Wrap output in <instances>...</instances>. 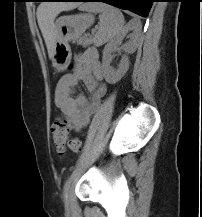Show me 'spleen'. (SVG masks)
<instances>
[{
  "mask_svg": "<svg viewBox=\"0 0 202 217\" xmlns=\"http://www.w3.org/2000/svg\"><path fill=\"white\" fill-rule=\"evenodd\" d=\"M81 10L100 13L99 30L94 37L96 46L112 40L123 30V14L115 7L105 3H87L81 6Z\"/></svg>",
  "mask_w": 202,
  "mask_h": 217,
  "instance_id": "3e777b00",
  "label": "spleen"
}]
</instances>
